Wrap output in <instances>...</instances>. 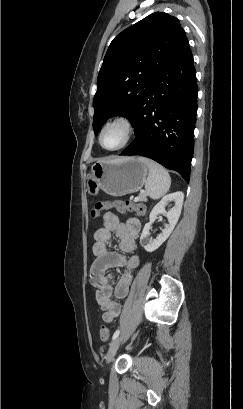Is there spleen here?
Masks as SVG:
<instances>
[{
  "mask_svg": "<svg viewBox=\"0 0 243 409\" xmlns=\"http://www.w3.org/2000/svg\"><path fill=\"white\" fill-rule=\"evenodd\" d=\"M138 160L144 163L149 169V175L145 183L148 196L152 199H159L165 195L171 185V178L168 171L158 163L139 157Z\"/></svg>",
  "mask_w": 243,
  "mask_h": 409,
  "instance_id": "3e777b00",
  "label": "spleen"
}]
</instances>
